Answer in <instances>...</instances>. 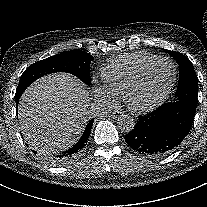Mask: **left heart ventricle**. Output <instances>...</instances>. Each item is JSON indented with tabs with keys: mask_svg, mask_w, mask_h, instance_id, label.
<instances>
[{
	"mask_svg": "<svg viewBox=\"0 0 207 207\" xmlns=\"http://www.w3.org/2000/svg\"><path fill=\"white\" fill-rule=\"evenodd\" d=\"M174 68L169 62H160L149 70L143 85L131 96V102L140 107L162 100L171 84Z\"/></svg>",
	"mask_w": 207,
	"mask_h": 207,
	"instance_id": "1",
	"label": "left heart ventricle"
}]
</instances>
